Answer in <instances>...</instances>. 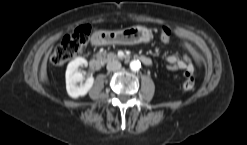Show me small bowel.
<instances>
[{
    "label": "small bowel",
    "instance_id": "1",
    "mask_svg": "<svg viewBox=\"0 0 247 145\" xmlns=\"http://www.w3.org/2000/svg\"><path fill=\"white\" fill-rule=\"evenodd\" d=\"M185 48V53L183 56L179 57L177 55L171 54L164 57L165 62L170 70H184L186 73H192L195 69L194 62L200 63L199 58L195 54L192 46L186 42H181Z\"/></svg>",
    "mask_w": 247,
    "mask_h": 145
}]
</instances>
